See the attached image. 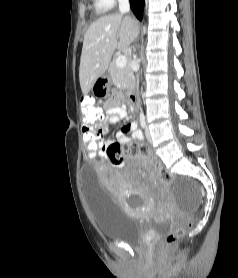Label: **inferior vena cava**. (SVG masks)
<instances>
[{"label":"inferior vena cava","mask_w":238,"mask_h":278,"mask_svg":"<svg viewBox=\"0 0 238 278\" xmlns=\"http://www.w3.org/2000/svg\"><path fill=\"white\" fill-rule=\"evenodd\" d=\"M120 13H127L130 10L129 0H118Z\"/></svg>","instance_id":"602c4592"}]
</instances>
